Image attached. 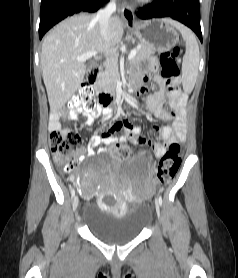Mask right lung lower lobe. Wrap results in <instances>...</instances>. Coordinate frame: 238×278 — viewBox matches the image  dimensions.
Here are the masks:
<instances>
[{
  "mask_svg": "<svg viewBox=\"0 0 238 278\" xmlns=\"http://www.w3.org/2000/svg\"><path fill=\"white\" fill-rule=\"evenodd\" d=\"M109 0H42L40 10L39 38L56 23L73 14L97 11Z\"/></svg>",
  "mask_w": 238,
  "mask_h": 278,
  "instance_id": "98d812e1",
  "label": "right lung lower lobe"
}]
</instances>
